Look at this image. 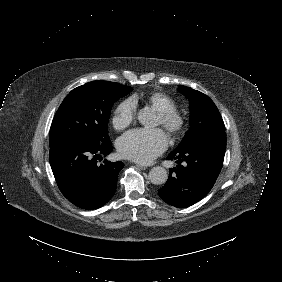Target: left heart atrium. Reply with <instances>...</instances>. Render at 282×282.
<instances>
[{
    "label": "left heart atrium",
    "mask_w": 282,
    "mask_h": 282,
    "mask_svg": "<svg viewBox=\"0 0 282 282\" xmlns=\"http://www.w3.org/2000/svg\"><path fill=\"white\" fill-rule=\"evenodd\" d=\"M166 147V138L162 131L133 130L118 141L120 154L138 163H149L161 154Z\"/></svg>",
    "instance_id": "left-heart-atrium-1"
}]
</instances>
